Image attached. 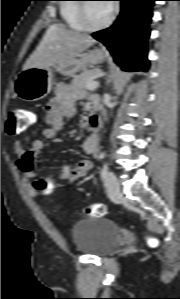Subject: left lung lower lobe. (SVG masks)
<instances>
[{"label": "left lung lower lobe", "mask_w": 180, "mask_h": 299, "mask_svg": "<svg viewBox=\"0 0 180 299\" xmlns=\"http://www.w3.org/2000/svg\"><path fill=\"white\" fill-rule=\"evenodd\" d=\"M122 10L114 24L92 36L110 51L126 71H147V39L152 6L156 0H120Z\"/></svg>", "instance_id": "obj_1"}]
</instances>
